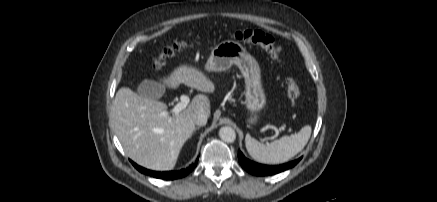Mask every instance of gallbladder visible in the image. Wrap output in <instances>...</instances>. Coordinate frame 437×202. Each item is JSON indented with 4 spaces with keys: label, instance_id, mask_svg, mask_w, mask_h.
<instances>
[{
    "label": "gallbladder",
    "instance_id": "obj_1",
    "mask_svg": "<svg viewBox=\"0 0 437 202\" xmlns=\"http://www.w3.org/2000/svg\"><path fill=\"white\" fill-rule=\"evenodd\" d=\"M165 91V88L162 84L154 81L145 79L143 80L138 88L137 93L142 96L149 99H158L160 98Z\"/></svg>",
    "mask_w": 437,
    "mask_h": 202
}]
</instances>
